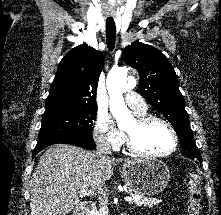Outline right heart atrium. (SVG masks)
I'll use <instances>...</instances> for the list:
<instances>
[{
  "label": "right heart atrium",
  "instance_id": "obj_1",
  "mask_svg": "<svg viewBox=\"0 0 221 215\" xmlns=\"http://www.w3.org/2000/svg\"><path fill=\"white\" fill-rule=\"evenodd\" d=\"M93 137L98 145L112 149H118L124 141L123 133L117 130L104 115L97 117Z\"/></svg>",
  "mask_w": 221,
  "mask_h": 215
}]
</instances>
